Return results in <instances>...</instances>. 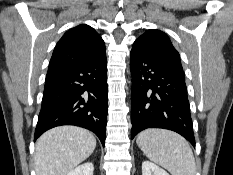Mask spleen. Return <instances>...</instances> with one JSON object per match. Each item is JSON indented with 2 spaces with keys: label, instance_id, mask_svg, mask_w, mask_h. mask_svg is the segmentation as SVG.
<instances>
[{
  "label": "spleen",
  "instance_id": "spleen-1",
  "mask_svg": "<svg viewBox=\"0 0 233 175\" xmlns=\"http://www.w3.org/2000/svg\"><path fill=\"white\" fill-rule=\"evenodd\" d=\"M136 142L151 161L172 175L196 174L193 152L179 134L164 129H146L138 134Z\"/></svg>",
  "mask_w": 233,
  "mask_h": 175
}]
</instances>
